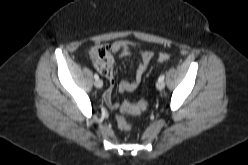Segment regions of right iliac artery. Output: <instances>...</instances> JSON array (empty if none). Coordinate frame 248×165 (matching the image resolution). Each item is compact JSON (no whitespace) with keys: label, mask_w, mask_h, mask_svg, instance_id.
Listing matches in <instances>:
<instances>
[{"label":"right iliac artery","mask_w":248,"mask_h":165,"mask_svg":"<svg viewBox=\"0 0 248 165\" xmlns=\"http://www.w3.org/2000/svg\"><path fill=\"white\" fill-rule=\"evenodd\" d=\"M95 80L99 79V76L97 74L94 75Z\"/></svg>","instance_id":"1"}]
</instances>
